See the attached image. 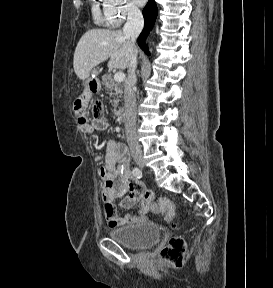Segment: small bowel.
<instances>
[{
	"label": "small bowel",
	"instance_id": "c3829d8e",
	"mask_svg": "<svg viewBox=\"0 0 273 288\" xmlns=\"http://www.w3.org/2000/svg\"><path fill=\"white\" fill-rule=\"evenodd\" d=\"M93 116L90 123L81 125V131L85 135L92 134L96 129L105 130L109 126L103 111L100 115ZM100 159L103 162L100 169L103 180L101 199L108 225L116 228L145 221V212L152 210L150 205L155 201V195L131 174L126 147L115 140H109L105 145V155ZM117 199H120L119 207L122 209H131L139 202L141 204L136 213L121 217L114 205Z\"/></svg>",
	"mask_w": 273,
	"mask_h": 288
}]
</instances>
